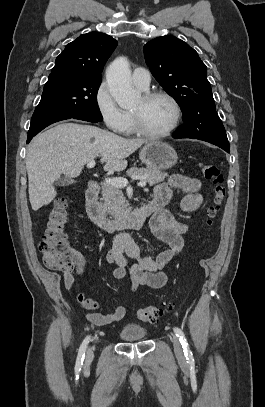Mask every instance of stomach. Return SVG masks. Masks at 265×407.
Listing matches in <instances>:
<instances>
[{"label":"stomach","instance_id":"0dacf381","mask_svg":"<svg viewBox=\"0 0 265 407\" xmlns=\"http://www.w3.org/2000/svg\"><path fill=\"white\" fill-rule=\"evenodd\" d=\"M139 157L148 168L157 170L169 169L178 161L174 148L158 140L147 142L140 150Z\"/></svg>","mask_w":265,"mask_h":407}]
</instances>
